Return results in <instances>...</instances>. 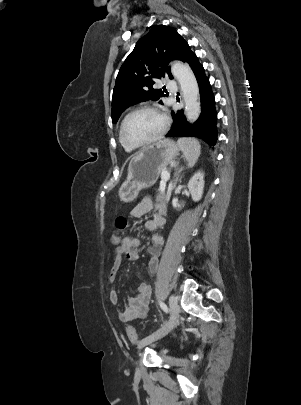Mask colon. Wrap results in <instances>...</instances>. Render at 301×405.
Instances as JSON below:
<instances>
[{"instance_id": "obj_1", "label": "colon", "mask_w": 301, "mask_h": 405, "mask_svg": "<svg viewBox=\"0 0 301 405\" xmlns=\"http://www.w3.org/2000/svg\"><path fill=\"white\" fill-rule=\"evenodd\" d=\"M115 225L117 227L118 230L123 231L127 228L128 226V221L125 217H118L115 221ZM122 237L118 234V233H113L112 237H111V242L112 245L114 247H118L120 245V243L122 242ZM126 333L127 336L129 338V340L133 343V344H137L139 341L138 335L135 331V329L132 326H127L126 327Z\"/></svg>"}]
</instances>
